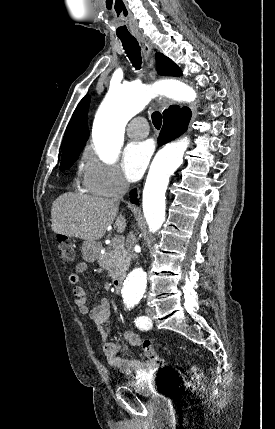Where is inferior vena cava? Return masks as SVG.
<instances>
[{
    "label": "inferior vena cava",
    "instance_id": "602c4592",
    "mask_svg": "<svg viewBox=\"0 0 275 429\" xmlns=\"http://www.w3.org/2000/svg\"><path fill=\"white\" fill-rule=\"evenodd\" d=\"M128 189H129V184L125 180H122L120 183L118 194L114 199L116 201L121 200L124 194L128 191ZM135 243H136L135 234L133 232H130L126 240V247H127L129 259H135L137 257V255L134 253Z\"/></svg>",
    "mask_w": 275,
    "mask_h": 429
}]
</instances>
